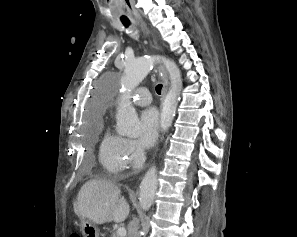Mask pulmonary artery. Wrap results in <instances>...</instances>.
<instances>
[{
	"instance_id": "1",
	"label": "pulmonary artery",
	"mask_w": 297,
	"mask_h": 237,
	"mask_svg": "<svg viewBox=\"0 0 297 237\" xmlns=\"http://www.w3.org/2000/svg\"><path fill=\"white\" fill-rule=\"evenodd\" d=\"M151 95L148 89H138L133 97V102L136 105L145 106L151 103Z\"/></svg>"
}]
</instances>
